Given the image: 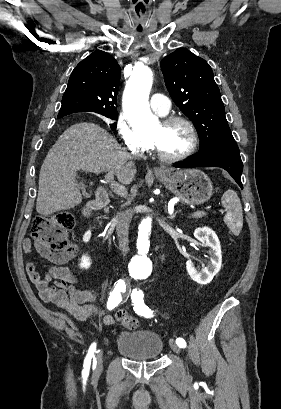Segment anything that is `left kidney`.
I'll return each mask as SVG.
<instances>
[{
  "label": "left kidney",
  "instance_id": "left-kidney-1",
  "mask_svg": "<svg viewBox=\"0 0 281 409\" xmlns=\"http://www.w3.org/2000/svg\"><path fill=\"white\" fill-rule=\"evenodd\" d=\"M194 237L195 239H198V241H201L202 247H210V261L207 267H204L202 271H198L192 261H187V273L190 275L191 279L196 281V283H199V285H207V283H210L213 277H215L221 269L222 255L220 241L215 231H212L209 227H198V229H195L194 231Z\"/></svg>",
  "mask_w": 281,
  "mask_h": 409
}]
</instances>
